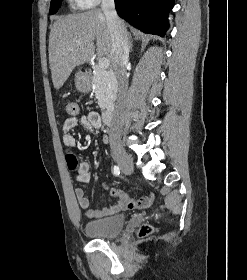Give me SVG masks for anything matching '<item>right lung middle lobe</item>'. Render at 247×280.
Wrapping results in <instances>:
<instances>
[{
  "label": "right lung middle lobe",
  "instance_id": "dd1d6c3e",
  "mask_svg": "<svg viewBox=\"0 0 247 280\" xmlns=\"http://www.w3.org/2000/svg\"><path fill=\"white\" fill-rule=\"evenodd\" d=\"M61 3V0H52L50 4V14L56 13L59 5Z\"/></svg>",
  "mask_w": 247,
  "mask_h": 280
}]
</instances>
